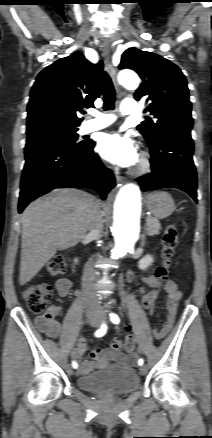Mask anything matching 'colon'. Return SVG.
I'll list each match as a JSON object with an SVG mask.
<instances>
[{
  "instance_id": "1",
  "label": "colon",
  "mask_w": 212,
  "mask_h": 438,
  "mask_svg": "<svg viewBox=\"0 0 212 438\" xmlns=\"http://www.w3.org/2000/svg\"><path fill=\"white\" fill-rule=\"evenodd\" d=\"M162 250V265L156 270V278L161 286L154 290L145 293L142 297L141 305L146 310H151L159 291L168 281L169 267L174 256L175 247L177 244V229L170 225L164 232ZM66 268V259L62 255L54 256L47 265V272L51 276L62 274ZM24 299L29 309L34 313L41 312L52 297V288L45 283L28 284L23 291ZM125 347L127 351H132L134 348V339L131 334H127L125 338Z\"/></svg>"
}]
</instances>
